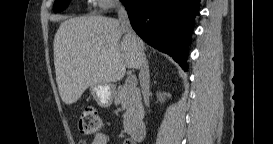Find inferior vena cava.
Instances as JSON below:
<instances>
[{"label":"inferior vena cava","instance_id":"602c4592","mask_svg":"<svg viewBox=\"0 0 273 144\" xmlns=\"http://www.w3.org/2000/svg\"><path fill=\"white\" fill-rule=\"evenodd\" d=\"M117 8H118V19L121 24V27L126 32V34L132 38L133 48L139 62V70H140L139 80H140V85L142 89V94H143L145 105L149 107L150 79H149L148 63L144 53V45L142 40L133 31L130 25V21H129L128 14L125 7L121 3H118Z\"/></svg>","mask_w":273,"mask_h":144}]
</instances>
